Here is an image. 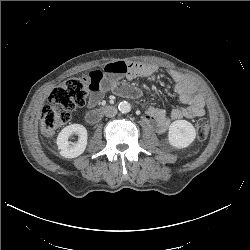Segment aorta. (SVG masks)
<instances>
[{"instance_id": "762f6f07", "label": "aorta", "mask_w": 250, "mask_h": 250, "mask_svg": "<svg viewBox=\"0 0 250 250\" xmlns=\"http://www.w3.org/2000/svg\"><path fill=\"white\" fill-rule=\"evenodd\" d=\"M118 109L121 113H128L131 111V104L127 101H122L119 103Z\"/></svg>"}]
</instances>
